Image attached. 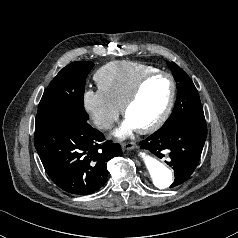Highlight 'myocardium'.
Instances as JSON below:
<instances>
[{
	"label": "myocardium",
	"mask_w": 238,
	"mask_h": 238,
	"mask_svg": "<svg viewBox=\"0 0 238 238\" xmlns=\"http://www.w3.org/2000/svg\"><path fill=\"white\" fill-rule=\"evenodd\" d=\"M158 76H164L169 80L170 96H169L168 102H167L163 112L153 123H151L150 125H148L146 127L137 128V131L141 134H148V133H152V132L156 131L164 124V122L169 117V115L172 111V108L174 106L175 97H176V83H175L173 76L168 72L159 71V70L151 72V73L143 76L135 84V86L133 87V89L131 90V92L129 93V95L127 96V98L125 99V101L123 102V104L121 106V112H122L123 116L126 117L128 109L138 99L145 84L148 81H150L151 79L158 77Z\"/></svg>",
	"instance_id": "f54148a6"
}]
</instances>
